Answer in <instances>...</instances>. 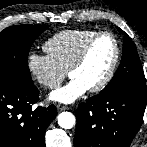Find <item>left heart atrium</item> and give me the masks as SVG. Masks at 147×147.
<instances>
[{"instance_id": "39dd6f15", "label": "left heart atrium", "mask_w": 147, "mask_h": 147, "mask_svg": "<svg viewBox=\"0 0 147 147\" xmlns=\"http://www.w3.org/2000/svg\"><path fill=\"white\" fill-rule=\"evenodd\" d=\"M89 88L79 79L71 78L65 85L52 91L49 99L54 102L70 104L84 95Z\"/></svg>"}]
</instances>
